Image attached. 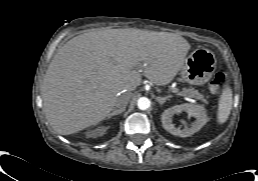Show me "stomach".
Masks as SVG:
<instances>
[{
  "label": "stomach",
  "mask_w": 258,
  "mask_h": 181,
  "mask_svg": "<svg viewBox=\"0 0 258 181\" xmlns=\"http://www.w3.org/2000/svg\"><path fill=\"white\" fill-rule=\"evenodd\" d=\"M215 70L216 58L213 52L198 48L185 58L180 75L190 85H202L210 80Z\"/></svg>",
  "instance_id": "stomach-1"
}]
</instances>
